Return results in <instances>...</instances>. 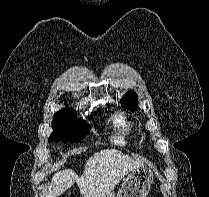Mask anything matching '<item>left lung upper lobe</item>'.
Masks as SVG:
<instances>
[{"label": "left lung upper lobe", "mask_w": 209, "mask_h": 197, "mask_svg": "<svg viewBox=\"0 0 209 197\" xmlns=\"http://www.w3.org/2000/svg\"><path fill=\"white\" fill-rule=\"evenodd\" d=\"M137 94L129 91L121 99V105L125 106L128 109H137Z\"/></svg>", "instance_id": "obj_1"}]
</instances>
